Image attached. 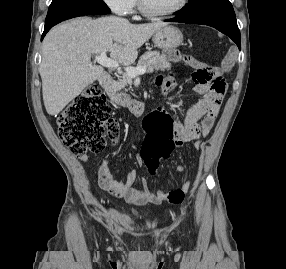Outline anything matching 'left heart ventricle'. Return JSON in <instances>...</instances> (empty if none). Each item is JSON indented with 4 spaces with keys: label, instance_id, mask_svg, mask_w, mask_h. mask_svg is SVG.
Listing matches in <instances>:
<instances>
[{
    "label": "left heart ventricle",
    "instance_id": "1",
    "mask_svg": "<svg viewBox=\"0 0 286 269\" xmlns=\"http://www.w3.org/2000/svg\"><path fill=\"white\" fill-rule=\"evenodd\" d=\"M180 0H144L146 7L152 12H165L179 4Z\"/></svg>",
    "mask_w": 286,
    "mask_h": 269
}]
</instances>
